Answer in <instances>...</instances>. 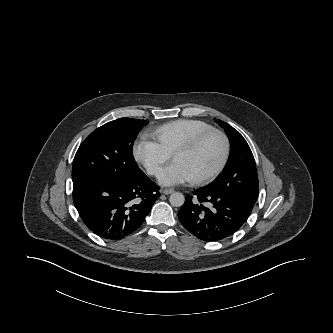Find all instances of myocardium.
Returning a JSON list of instances; mask_svg holds the SVG:
<instances>
[{
    "mask_svg": "<svg viewBox=\"0 0 333 333\" xmlns=\"http://www.w3.org/2000/svg\"><path fill=\"white\" fill-rule=\"evenodd\" d=\"M211 136H219L222 139L224 143L223 157L219 165L211 173L203 177L193 178V183L197 185H205L213 182L227 166L231 154V143L228 136L223 131L214 128L191 138L172 153V158L174 159L177 155L191 152Z\"/></svg>",
    "mask_w": 333,
    "mask_h": 333,
    "instance_id": "f54148a6",
    "label": "myocardium"
}]
</instances>
